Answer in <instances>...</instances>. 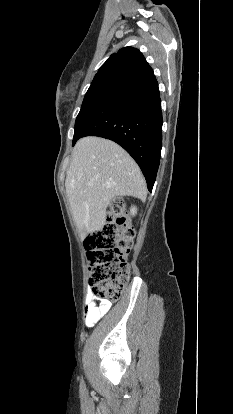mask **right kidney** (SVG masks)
<instances>
[{
  "label": "right kidney",
  "mask_w": 233,
  "mask_h": 414,
  "mask_svg": "<svg viewBox=\"0 0 233 414\" xmlns=\"http://www.w3.org/2000/svg\"><path fill=\"white\" fill-rule=\"evenodd\" d=\"M130 213H131L132 215H135V214L137 213V209H136L135 207H131V209H130Z\"/></svg>",
  "instance_id": "right-kidney-1"
}]
</instances>
